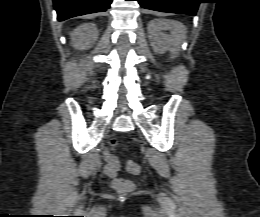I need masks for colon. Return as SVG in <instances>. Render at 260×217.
I'll return each instance as SVG.
<instances>
[{
	"label": "colon",
	"mask_w": 260,
	"mask_h": 217,
	"mask_svg": "<svg viewBox=\"0 0 260 217\" xmlns=\"http://www.w3.org/2000/svg\"><path fill=\"white\" fill-rule=\"evenodd\" d=\"M112 144H115V141H113ZM126 169L131 174H139L140 172L138 163L134 162L133 160L126 161ZM112 184L115 189L121 191L129 190L131 187L130 182L124 178H116L113 180Z\"/></svg>",
	"instance_id": "obj_1"
}]
</instances>
